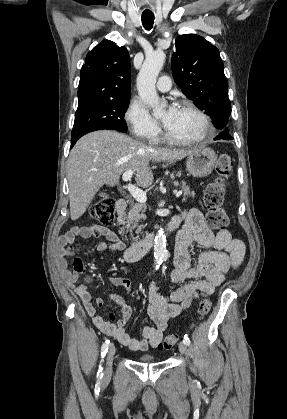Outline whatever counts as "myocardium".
<instances>
[{
  "mask_svg": "<svg viewBox=\"0 0 287 419\" xmlns=\"http://www.w3.org/2000/svg\"><path fill=\"white\" fill-rule=\"evenodd\" d=\"M179 107L185 108L195 113L201 119L205 132L200 137L195 139H180L172 136L164 127L163 137L167 142L176 145L190 146L204 143L214 136V127L210 118L199 107L188 101H183L180 103Z\"/></svg>",
  "mask_w": 287,
  "mask_h": 419,
  "instance_id": "myocardium-1",
  "label": "myocardium"
}]
</instances>
